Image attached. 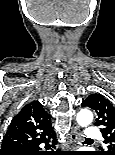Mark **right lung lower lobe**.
I'll use <instances>...</instances> for the list:
<instances>
[{
  "label": "right lung lower lobe",
  "mask_w": 115,
  "mask_h": 155,
  "mask_svg": "<svg viewBox=\"0 0 115 155\" xmlns=\"http://www.w3.org/2000/svg\"><path fill=\"white\" fill-rule=\"evenodd\" d=\"M48 141L49 140H46L44 143H47ZM41 143L30 144L21 149L10 151L5 155H47V153L40 151L41 148L39 147V145ZM46 148H49V146L46 145Z\"/></svg>",
  "instance_id": "1"
}]
</instances>
